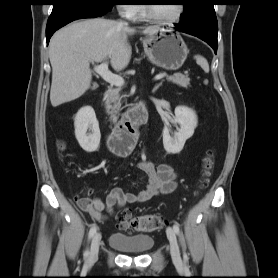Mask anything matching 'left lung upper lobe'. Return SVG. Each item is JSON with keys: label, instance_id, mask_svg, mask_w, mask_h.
<instances>
[{"label": "left lung upper lobe", "instance_id": "1", "mask_svg": "<svg viewBox=\"0 0 278 278\" xmlns=\"http://www.w3.org/2000/svg\"><path fill=\"white\" fill-rule=\"evenodd\" d=\"M214 3V0H183L185 10L181 15L182 22L190 21L198 16H205L217 26Z\"/></svg>", "mask_w": 278, "mask_h": 278}]
</instances>
